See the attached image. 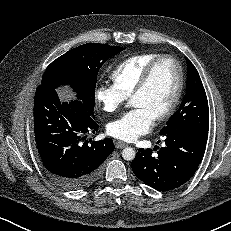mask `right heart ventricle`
<instances>
[{
  "instance_id": "1",
  "label": "right heart ventricle",
  "mask_w": 231,
  "mask_h": 231,
  "mask_svg": "<svg viewBox=\"0 0 231 231\" xmlns=\"http://www.w3.org/2000/svg\"><path fill=\"white\" fill-rule=\"evenodd\" d=\"M158 53L134 55L121 62L112 72L114 85L126 97H130L148 64L158 57Z\"/></svg>"
}]
</instances>
